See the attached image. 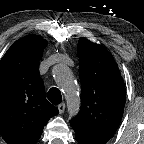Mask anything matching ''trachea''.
<instances>
[{
	"label": "trachea",
	"instance_id": "obj_1",
	"mask_svg": "<svg viewBox=\"0 0 144 144\" xmlns=\"http://www.w3.org/2000/svg\"><path fill=\"white\" fill-rule=\"evenodd\" d=\"M48 99L51 103L58 105L61 103L62 101V96H61V92L58 88L56 87H52L49 91H48Z\"/></svg>",
	"mask_w": 144,
	"mask_h": 144
}]
</instances>
